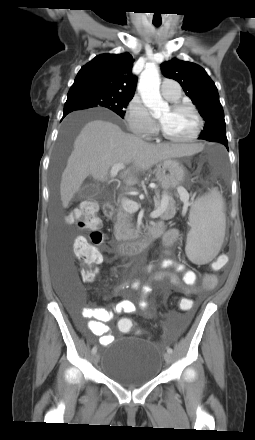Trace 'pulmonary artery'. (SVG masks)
I'll use <instances>...</instances> for the list:
<instances>
[{
	"instance_id": "e3ab8cb5",
	"label": "pulmonary artery",
	"mask_w": 255,
	"mask_h": 440,
	"mask_svg": "<svg viewBox=\"0 0 255 440\" xmlns=\"http://www.w3.org/2000/svg\"><path fill=\"white\" fill-rule=\"evenodd\" d=\"M161 93L165 99L175 101L180 97L181 89L174 80L164 79L161 85Z\"/></svg>"
}]
</instances>
